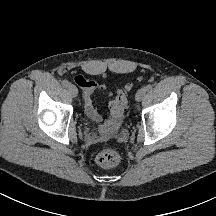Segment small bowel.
Returning <instances> with one entry per match:
<instances>
[{
	"label": "small bowel",
	"instance_id": "1",
	"mask_svg": "<svg viewBox=\"0 0 216 216\" xmlns=\"http://www.w3.org/2000/svg\"><path fill=\"white\" fill-rule=\"evenodd\" d=\"M75 82L83 91L86 116L94 122L101 121L102 114L95 106L93 95L98 90L106 92L105 87H100L95 81L87 79L83 76H76ZM116 123V118L111 115L108 121L98 130L97 133L102 136L112 133L116 129Z\"/></svg>",
	"mask_w": 216,
	"mask_h": 216
}]
</instances>
